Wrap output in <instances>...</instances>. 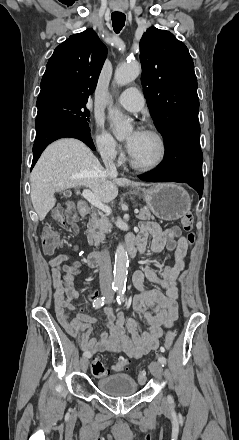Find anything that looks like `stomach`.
Returning <instances> with one entry per match:
<instances>
[{
    "label": "stomach",
    "instance_id": "0dacf381",
    "mask_svg": "<svg viewBox=\"0 0 239 440\" xmlns=\"http://www.w3.org/2000/svg\"><path fill=\"white\" fill-rule=\"evenodd\" d=\"M147 208L160 220H179L191 210V198L178 184H155L142 190Z\"/></svg>",
    "mask_w": 239,
    "mask_h": 440
}]
</instances>
